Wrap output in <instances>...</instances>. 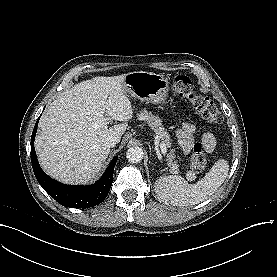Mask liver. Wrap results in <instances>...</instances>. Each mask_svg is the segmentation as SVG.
Listing matches in <instances>:
<instances>
[{"instance_id":"6515ba94","label":"liver","mask_w":277,"mask_h":277,"mask_svg":"<svg viewBox=\"0 0 277 277\" xmlns=\"http://www.w3.org/2000/svg\"><path fill=\"white\" fill-rule=\"evenodd\" d=\"M126 74L95 77L62 92L40 118L35 150L42 169L67 184L97 178L110 148L107 137L121 140L133 117L123 89ZM111 120L120 121L108 128Z\"/></svg>"}]
</instances>
